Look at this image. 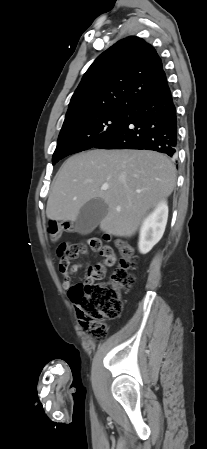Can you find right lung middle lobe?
I'll use <instances>...</instances> for the list:
<instances>
[{"label":"right lung middle lobe","instance_id":"right-lung-middle-lobe-1","mask_svg":"<svg viewBox=\"0 0 207 449\" xmlns=\"http://www.w3.org/2000/svg\"><path fill=\"white\" fill-rule=\"evenodd\" d=\"M134 109H103L64 120L52 157L55 165L64 157L81 152L105 140L120 129Z\"/></svg>","mask_w":207,"mask_h":449}]
</instances>
